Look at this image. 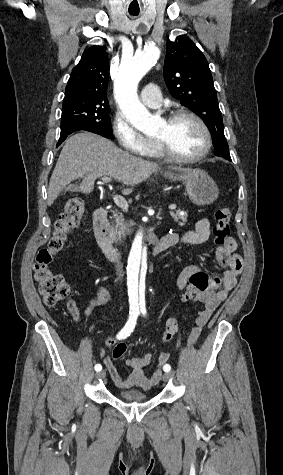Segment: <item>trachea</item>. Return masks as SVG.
<instances>
[{"instance_id":"obj_1","label":"trachea","mask_w":283,"mask_h":475,"mask_svg":"<svg viewBox=\"0 0 283 475\" xmlns=\"http://www.w3.org/2000/svg\"><path fill=\"white\" fill-rule=\"evenodd\" d=\"M130 15L136 16V15H139V12H136V13H130Z\"/></svg>"}]
</instances>
